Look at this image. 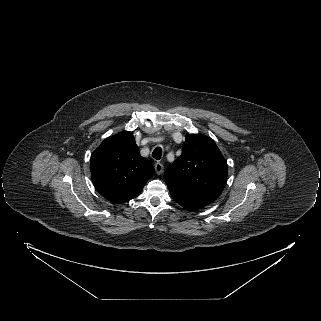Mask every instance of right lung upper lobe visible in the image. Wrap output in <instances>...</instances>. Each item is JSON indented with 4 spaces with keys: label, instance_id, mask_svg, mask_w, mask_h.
Segmentation results:
<instances>
[{
    "label": "right lung upper lobe",
    "instance_id": "right-lung-upper-lobe-1",
    "mask_svg": "<svg viewBox=\"0 0 321 321\" xmlns=\"http://www.w3.org/2000/svg\"><path fill=\"white\" fill-rule=\"evenodd\" d=\"M90 170L97 191L114 203L137 197L154 173L151 162L140 156L133 134L128 131L100 144L91 156Z\"/></svg>",
    "mask_w": 321,
    "mask_h": 321
}]
</instances>
